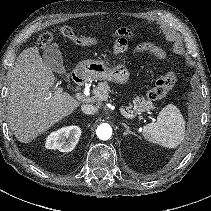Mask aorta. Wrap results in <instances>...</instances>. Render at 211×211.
Wrapping results in <instances>:
<instances>
[{
	"label": "aorta",
	"instance_id": "762f6f07",
	"mask_svg": "<svg viewBox=\"0 0 211 211\" xmlns=\"http://www.w3.org/2000/svg\"><path fill=\"white\" fill-rule=\"evenodd\" d=\"M96 135L101 140H108L112 136V128L109 124H101L97 127Z\"/></svg>",
	"mask_w": 211,
	"mask_h": 211
}]
</instances>
